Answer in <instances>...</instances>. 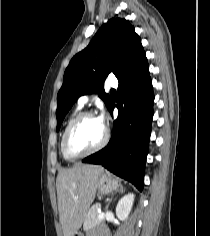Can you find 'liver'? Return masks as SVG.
I'll return each instance as SVG.
<instances>
[{
  "mask_svg": "<svg viewBox=\"0 0 210 236\" xmlns=\"http://www.w3.org/2000/svg\"><path fill=\"white\" fill-rule=\"evenodd\" d=\"M104 172L98 165L78 164L62 170L56 179L59 218L64 236H74L80 229L97 190V180Z\"/></svg>",
  "mask_w": 210,
  "mask_h": 236,
  "instance_id": "liver-1",
  "label": "liver"
}]
</instances>
